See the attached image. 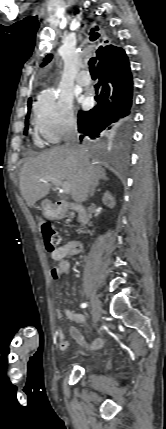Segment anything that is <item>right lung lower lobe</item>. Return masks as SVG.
Returning <instances> with one entry per match:
<instances>
[{
  "label": "right lung lower lobe",
  "instance_id": "98d812e1",
  "mask_svg": "<svg viewBox=\"0 0 166 429\" xmlns=\"http://www.w3.org/2000/svg\"><path fill=\"white\" fill-rule=\"evenodd\" d=\"M98 73L97 105L78 113L80 140L84 137L96 139L106 133L123 135L131 120L133 79L125 51L122 50L120 56L99 61Z\"/></svg>",
  "mask_w": 166,
  "mask_h": 429
}]
</instances>
